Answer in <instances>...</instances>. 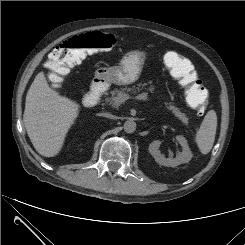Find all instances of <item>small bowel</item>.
I'll use <instances>...</instances> for the list:
<instances>
[{
    "mask_svg": "<svg viewBox=\"0 0 245 245\" xmlns=\"http://www.w3.org/2000/svg\"><path fill=\"white\" fill-rule=\"evenodd\" d=\"M171 53H174V52L167 53L166 56H165V60H166V57L169 54H171ZM184 61H185L186 73L188 75H191L194 79H197V74H196V71H195L194 66L192 65V63L186 58H184Z\"/></svg>",
    "mask_w": 245,
    "mask_h": 245,
    "instance_id": "small-bowel-1",
    "label": "small bowel"
}]
</instances>
